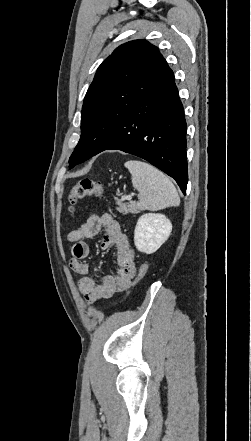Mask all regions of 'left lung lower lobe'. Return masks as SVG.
Segmentation results:
<instances>
[{"label": "left lung lower lobe", "mask_w": 251, "mask_h": 441, "mask_svg": "<svg viewBox=\"0 0 251 441\" xmlns=\"http://www.w3.org/2000/svg\"><path fill=\"white\" fill-rule=\"evenodd\" d=\"M186 129L174 74L168 68L128 114L93 125L85 141L87 158L105 150L136 155L174 178L185 194L188 182Z\"/></svg>", "instance_id": "obj_1"}]
</instances>
